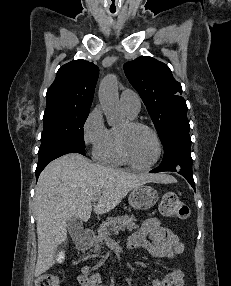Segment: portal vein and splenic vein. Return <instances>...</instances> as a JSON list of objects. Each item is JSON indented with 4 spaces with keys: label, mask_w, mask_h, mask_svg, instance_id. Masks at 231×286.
I'll return each mask as SVG.
<instances>
[{
    "label": "portal vein and splenic vein",
    "mask_w": 231,
    "mask_h": 286,
    "mask_svg": "<svg viewBox=\"0 0 231 286\" xmlns=\"http://www.w3.org/2000/svg\"><path fill=\"white\" fill-rule=\"evenodd\" d=\"M99 199V196H95L93 201L96 202Z\"/></svg>",
    "instance_id": "18ae733b"
}]
</instances>
